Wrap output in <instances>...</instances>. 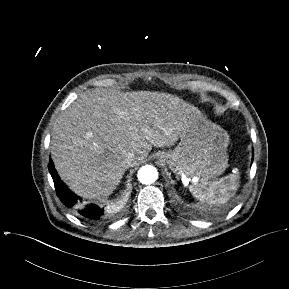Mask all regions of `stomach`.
Returning <instances> with one entry per match:
<instances>
[{
  "mask_svg": "<svg viewBox=\"0 0 289 289\" xmlns=\"http://www.w3.org/2000/svg\"><path fill=\"white\" fill-rule=\"evenodd\" d=\"M228 133L194 110L180 134V142L160 158L177 177L196 176L205 180L221 175L228 166Z\"/></svg>",
  "mask_w": 289,
  "mask_h": 289,
  "instance_id": "obj_1",
  "label": "stomach"
}]
</instances>
